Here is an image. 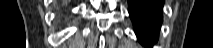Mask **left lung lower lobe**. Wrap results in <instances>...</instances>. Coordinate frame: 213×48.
I'll use <instances>...</instances> for the list:
<instances>
[{
	"mask_svg": "<svg viewBox=\"0 0 213 48\" xmlns=\"http://www.w3.org/2000/svg\"><path fill=\"white\" fill-rule=\"evenodd\" d=\"M163 3V0H128L137 38L144 46H152L158 39Z\"/></svg>",
	"mask_w": 213,
	"mask_h": 48,
	"instance_id": "obj_1",
	"label": "left lung lower lobe"
}]
</instances>
